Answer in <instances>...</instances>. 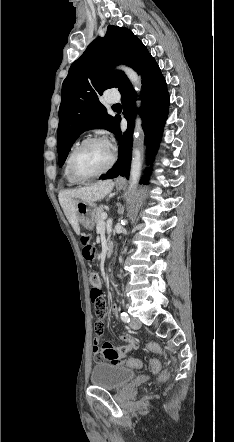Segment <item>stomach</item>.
Masks as SVG:
<instances>
[{
  "instance_id": "stomach-1",
  "label": "stomach",
  "mask_w": 234,
  "mask_h": 442,
  "mask_svg": "<svg viewBox=\"0 0 234 442\" xmlns=\"http://www.w3.org/2000/svg\"><path fill=\"white\" fill-rule=\"evenodd\" d=\"M116 187L122 189L123 185L117 183ZM96 204L80 201L76 205L78 221L87 230H92L95 224Z\"/></svg>"
}]
</instances>
